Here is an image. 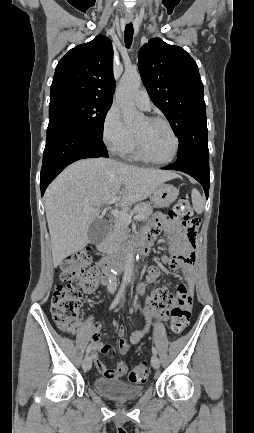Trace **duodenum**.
Masks as SVG:
<instances>
[{
    "label": "duodenum",
    "instance_id": "1",
    "mask_svg": "<svg viewBox=\"0 0 254 433\" xmlns=\"http://www.w3.org/2000/svg\"><path fill=\"white\" fill-rule=\"evenodd\" d=\"M108 225L110 223L108 222ZM151 246V241L145 237L138 243H129L118 252L109 255L103 259V265L105 267L106 273L110 271H122L125 267L133 263V259L138 250L142 249L144 251L148 250Z\"/></svg>",
    "mask_w": 254,
    "mask_h": 433
}]
</instances>
